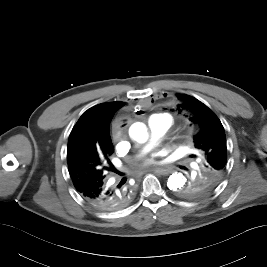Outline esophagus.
<instances>
[{
    "label": "esophagus",
    "mask_w": 267,
    "mask_h": 267,
    "mask_svg": "<svg viewBox=\"0 0 267 267\" xmlns=\"http://www.w3.org/2000/svg\"><path fill=\"white\" fill-rule=\"evenodd\" d=\"M152 171L159 175H167L171 172L169 168H161V167H156Z\"/></svg>",
    "instance_id": "1"
}]
</instances>
